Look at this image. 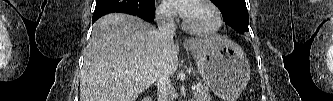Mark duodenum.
<instances>
[{"mask_svg": "<svg viewBox=\"0 0 333 101\" xmlns=\"http://www.w3.org/2000/svg\"><path fill=\"white\" fill-rule=\"evenodd\" d=\"M143 101H152L151 98H145Z\"/></svg>", "mask_w": 333, "mask_h": 101, "instance_id": "1", "label": "duodenum"}]
</instances>
